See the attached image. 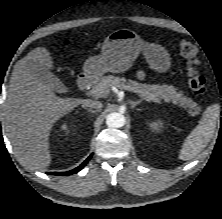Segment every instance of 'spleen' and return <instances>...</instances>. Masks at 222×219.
<instances>
[{
	"mask_svg": "<svg viewBox=\"0 0 222 219\" xmlns=\"http://www.w3.org/2000/svg\"><path fill=\"white\" fill-rule=\"evenodd\" d=\"M220 116V105L212 104L204 111L201 121L184 141L179 153L181 160H189L200 153L214 135Z\"/></svg>",
	"mask_w": 222,
	"mask_h": 219,
	"instance_id": "spleen-1",
	"label": "spleen"
}]
</instances>
